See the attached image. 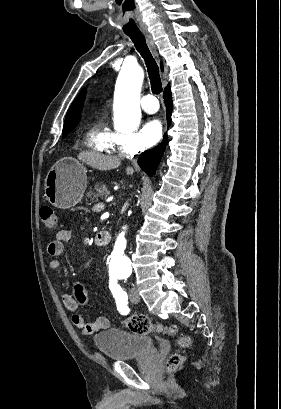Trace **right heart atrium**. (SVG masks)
Instances as JSON below:
<instances>
[{"label":"right heart atrium","mask_w":281,"mask_h":409,"mask_svg":"<svg viewBox=\"0 0 281 409\" xmlns=\"http://www.w3.org/2000/svg\"><path fill=\"white\" fill-rule=\"evenodd\" d=\"M126 119V128L129 132L127 135H118V143L129 152H138L144 148L138 134L132 135L131 131L136 130L140 122L139 115H123Z\"/></svg>","instance_id":"1"}]
</instances>
